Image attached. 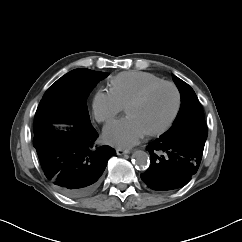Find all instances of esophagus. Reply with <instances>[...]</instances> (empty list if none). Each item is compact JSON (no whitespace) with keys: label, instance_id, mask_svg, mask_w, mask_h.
Here are the masks:
<instances>
[{"label":"esophagus","instance_id":"1","mask_svg":"<svg viewBox=\"0 0 242 242\" xmlns=\"http://www.w3.org/2000/svg\"><path fill=\"white\" fill-rule=\"evenodd\" d=\"M131 151L128 149L117 148L116 153L117 155L129 154Z\"/></svg>","mask_w":242,"mask_h":242}]
</instances>
